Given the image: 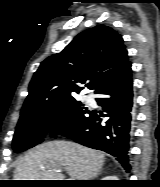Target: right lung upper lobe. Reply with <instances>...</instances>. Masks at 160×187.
Segmentation results:
<instances>
[{
  "label": "right lung upper lobe",
  "instance_id": "cb5924a9",
  "mask_svg": "<svg viewBox=\"0 0 160 187\" xmlns=\"http://www.w3.org/2000/svg\"><path fill=\"white\" fill-rule=\"evenodd\" d=\"M131 64L123 39L98 25L78 34L65 49L45 59L35 72L21 113L46 109L74 99L86 84L94 93Z\"/></svg>",
  "mask_w": 160,
  "mask_h": 187
}]
</instances>
